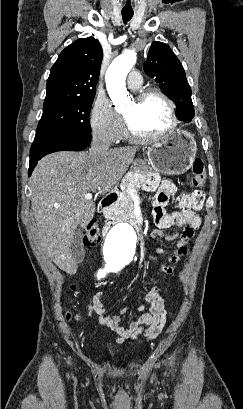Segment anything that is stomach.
Masks as SVG:
<instances>
[{
  "mask_svg": "<svg viewBox=\"0 0 243 409\" xmlns=\"http://www.w3.org/2000/svg\"><path fill=\"white\" fill-rule=\"evenodd\" d=\"M197 151L192 134L184 130L172 132L164 140L148 147L147 158L134 162V170H154L165 175H179L193 164Z\"/></svg>",
  "mask_w": 243,
  "mask_h": 409,
  "instance_id": "obj_1",
  "label": "stomach"
}]
</instances>
